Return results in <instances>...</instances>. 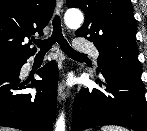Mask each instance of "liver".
Here are the masks:
<instances>
[{"label":"liver","instance_id":"obj_1","mask_svg":"<svg viewBox=\"0 0 147 131\" xmlns=\"http://www.w3.org/2000/svg\"><path fill=\"white\" fill-rule=\"evenodd\" d=\"M0 131H11V130L8 128H0Z\"/></svg>","mask_w":147,"mask_h":131}]
</instances>
